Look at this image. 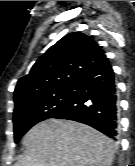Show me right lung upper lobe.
Listing matches in <instances>:
<instances>
[{"label": "right lung upper lobe", "instance_id": "cb5924a9", "mask_svg": "<svg viewBox=\"0 0 135 166\" xmlns=\"http://www.w3.org/2000/svg\"><path fill=\"white\" fill-rule=\"evenodd\" d=\"M107 61L91 36L74 32L50 47L20 78L14 91L15 108L74 87L83 76Z\"/></svg>", "mask_w": 135, "mask_h": 166}]
</instances>
